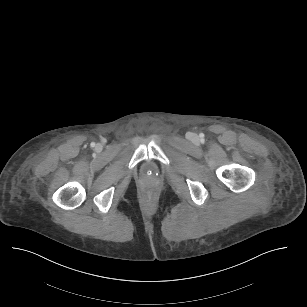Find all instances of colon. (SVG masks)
Segmentation results:
<instances>
[{"instance_id":"colon-1","label":"colon","mask_w":307,"mask_h":307,"mask_svg":"<svg viewBox=\"0 0 307 307\" xmlns=\"http://www.w3.org/2000/svg\"><path fill=\"white\" fill-rule=\"evenodd\" d=\"M142 197L146 201H153L157 197V190L153 186H146L142 190Z\"/></svg>"}]
</instances>
